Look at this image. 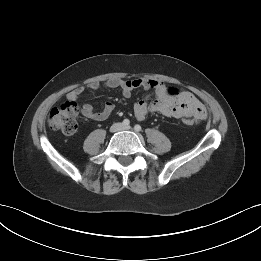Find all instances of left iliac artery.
I'll return each instance as SVG.
<instances>
[{
  "label": "left iliac artery",
  "mask_w": 261,
  "mask_h": 261,
  "mask_svg": "<svg viewBox=\"0 0 261 261\" xmlns=\"http://www.w3.org/2000/svg\"><path fill=\"white\" fill-rule=\"evenodd\" d=\"M134 129L136 132H139V131H141V126L137 124L134 126Z\"/></svg>",
  "instance_id": "left-iliac-artery-1"
}]
</instances>
